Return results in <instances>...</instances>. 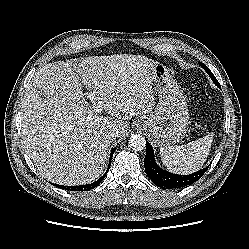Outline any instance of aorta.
<instances>
[{
  "instance_id": "1",
  "label": "aorta",
  "mask_w": 249,
  "mask_h": 249,
  "mask_svg": "<svg viewBox=\"0 0 249 249\" xmlns=\"http://www.w3.org/2000/svg\"><path fill=\"white\" fill-rule=\"evenodd\" d=\"M128 145L134 151H141L146 146V140L144 136L140 134H134L130 137Z\"/></svg>"
}]
</instances>
